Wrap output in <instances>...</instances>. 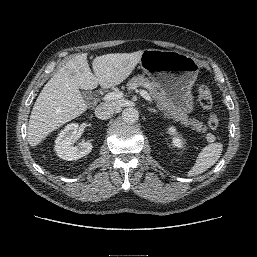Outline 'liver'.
Returning <instances> with one entry per match:
<instances>
[{
  "label": "liver",
  "mask_w": 257,
  "mask_h": 257,
  "mask_svg": "<svg viewBox=\"0 0 257 257\" xmlns=\"http://www.w3.org/2000/svg\"><path fill=\"white\" fill-rule=\"evenodd\" d=\"M142 51L111 53L93 60L94 74L87 54L69 60L45 84L33 106L27 139L35 147L51 132L83 114L88 106L79 89L92 90L100 85L110 88L121 84L140 62Z\"/></svg>",
  "instance_id": "1"
}]
</instances>
